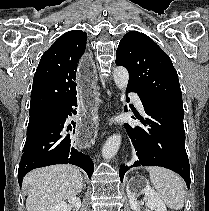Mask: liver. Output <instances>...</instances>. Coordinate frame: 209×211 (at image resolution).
I'll use <instances>...</instances> for the list:
<instances>
[{
	"label": "liver",
	"instance_id": "1",
	"mask_svg": "<svg viewBox=\"0 0 209 211\" xmlns=\"http://www.w3.org/2000/svg\"><path fill=\"white\" fill-rule=\"evenodd\" d=\"M83 187L78 168L71 165H53L29 172L23 180L28 190L27 211H50L58 203L77 195Z\"/></svg>",
	"mask_w": 209,
	"mask_h": 211
}]
</instances>
